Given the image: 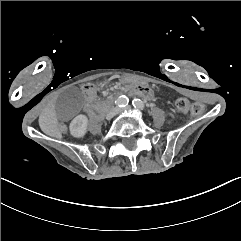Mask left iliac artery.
I'll return each mask as SVG.
<instances>
[{"label":"left iliac artery","mask_w":241,"mask_h":241,"mask_svg":"<svg viewBox=\"0 0 241 241\" xmlns=\"http://www.w3.org/2000/svg\"><path fill=\"white\" fill-rule=\"evenodd\" d=\"M132 105L135 108L140 109V110H144L145 109V105H144V103L140 99H134L132 101Z\"/></svg>","instance_id":"obj_1"}]
</instances>
